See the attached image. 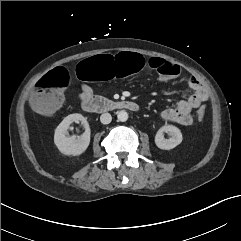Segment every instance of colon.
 Instances as JSON below:
<instances>
[{"label": "colon", "instance_id": "5ec220e1", "mask_svg": "<svg viewBox=\"0 0 241 241\" xmlns=\"http://www.w3.org/2000/svg\"><path fill=\"white\" fill-rule=\"evenodd\" d=\"M146 64L158 71L161 82L175 79L181 72L178 65L160 58H151L147 63L134 51H113L100 53L92 58L80 60L75 68L77 78L85 83L97 80H110L125 77L139 72ZM68 85V74L65 68L57 67L41 77L30 99L32 107L42 114H53L63 101V92ZM205 117V108L197 112L198 120Z\"/></svg>", "mask_w": 241, "mask_h": 241}]
</instances>
